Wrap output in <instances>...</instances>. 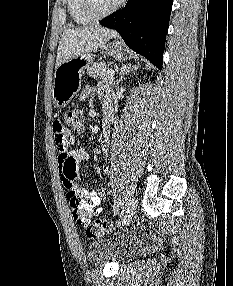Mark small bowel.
<instances>
[{"mask_svg": "<svg viewBox=\"0 0 233 286\" xmlns=\"http://www.w3.org/2000/svg\"><path fill=\"white\" fill-rule=\"evenodd\" d=\"M97 93L103 101V113L106 121L109 122L108 116L113 115L111 106V87L107 83H101L97 86H86L80 94L81 100H87L91 95ZM55 133V143L58 151V167L63 187L67 193L74 191L82 200L80 211L83 216L77 215L73 210L74 220L79 224H86L88 218L99 210L101 200L105 197L102 189H86L81 187V182L77 176L78 167L88 159V153L83 149L70 150L69 147L76 142L75 136L60 122L53 125ZM102 151L106 156L109 150V139L105 135L102 139ZM103 173L108 174V167L104 166Z\"/></svg>", "mask_w": 233, "mask_h": 286, "instance_id": "c3829d8e", "label": "small bowel"}]
</instances>
